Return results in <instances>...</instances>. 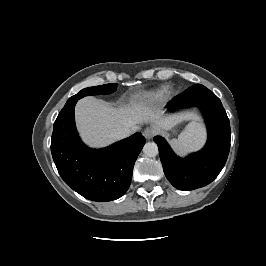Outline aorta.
<instances>
[{"label": "aorta", "instance_id": "obj_1", "mask_svg": "<svg viewBox=\"0 0 266 266\" xmlns=\"http://www.w3.org/2000/svg\"><path fill=\"white\" fill-rule=\"evenodd\" d=\"M143 153L147 157H155L158 155V146L155 142H148L143 147Z\"/></svg>", "mask_w": 266, "mask_h": 266}]
</instances>
